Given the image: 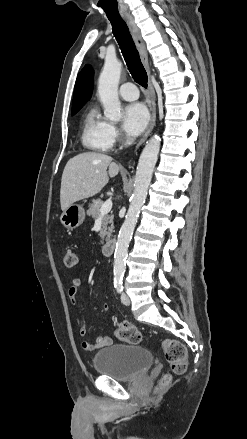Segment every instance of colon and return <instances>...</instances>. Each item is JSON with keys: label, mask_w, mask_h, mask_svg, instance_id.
Listing matches in <instances>:
<instances>
[{"label": "colon", "mask_w": 247, "mask_h": 439, "mask_svg": "<svg viewBox=\"0 0 247 439\" xmlns=\"http://www.w3.org/2000/svg\"><path fill=\"white\" fill-rule=\"evenodd\" d=\"M63 261L66 267H74L78 263V258L74 251L66 250L63 255ZM116 336L118 339L130 344H139L143 339L141 332L128 322H121L119 324ZM162 348L171 372L183 374L188 364L186 347L180 341L166 339L162 343ZM169 379L170 376L166 375L162 383H167Z\"/></svg>", "instance_id": "colon-1"}]
</instances>
